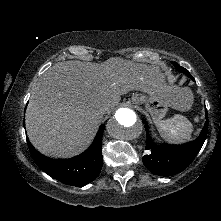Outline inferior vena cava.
<instances>
[{
  "mask_svg": "<svg viewBox=\"0 0 221 221\" xmlns=\"http://www.w3.org/2000/svg\"><path fill=\"white\" fill-rule=\"evenodd\" d=\"M106 112H107V108L106 107H102V108L99 109V113L101 115L105 114Z\"/></svg>",
  "mask_w": 221,
  "mask_h": 221,
  "instance_id": "inferior-vena-cava-1",
  "label": "inferior vena cava"
}]
</instances>
